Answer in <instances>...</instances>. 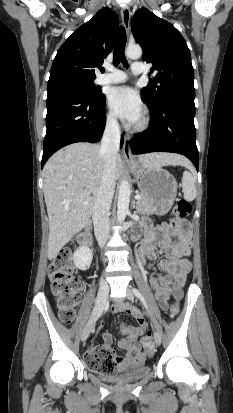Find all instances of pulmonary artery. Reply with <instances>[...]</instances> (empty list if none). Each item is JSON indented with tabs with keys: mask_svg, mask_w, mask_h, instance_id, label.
<instances>
[{
	"mask_svg": "<svg viewBox=\"0 0 233 413\" xmlns=\"http://www.w3.org/2000/svg\"><path fill=\"white\" fill-rule=\"evenodd\" d=\"M132 72L135 75L143 73V66L141 63H134L132 65ZM127 80V75L123 71L107 67V72L100 75L97 79L98 84H117L123 83Z\"/></svg>",
	"mask_w": 233,
	"mask_h": 413,
	"instance_id": "pulmonary-artery-1",
	"label": "pulmonary artery"
}]
</instances>
